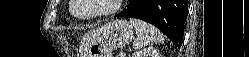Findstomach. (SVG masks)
Listing matches in <instances>:
<instances>
[{
  "label": "stomach",
  "mask_w": 249,
  "mask_h": 57,
  "mask_svg": "<svg viewBox=\"0 0 249 57\" xmlns=\"http://www.w3.org/2000/svg\"><path fill=\"white\" fill-rule=\"evenodd\" d=\"M133 26L117 19L86 34L82 41V57H112L114 49L124 47L133 38Z\"/></svg>",
  "instance_id": "stomach-1"
}]
</instances>
